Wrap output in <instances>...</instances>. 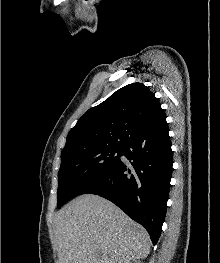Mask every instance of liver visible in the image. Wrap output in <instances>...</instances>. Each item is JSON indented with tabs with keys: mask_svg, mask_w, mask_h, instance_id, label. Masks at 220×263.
I'll return each instance as SVG.
<instances>
[{
	"mask_svg": "<svg viewBox=\"0 0 220 263\" xmlns=\"http://www.w3.org/2000/svg\"><path fill=\"white\" fill-rule=\"evenodd\" d=\"M58 263H128L150 252L148 232L112 202L79 196L54 217Z\"/></svg>",
	"mask_w": 220,
	"mask_h": 263,
	"instance_id": "liver-1",
	"label": "liver"
}]
</instances>
